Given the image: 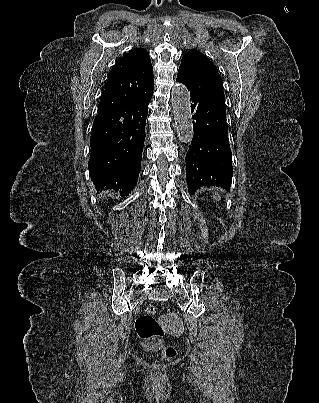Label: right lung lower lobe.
I'll use <instances>...</instances> for the list:
<instances>
[{"label":"right lung lower lobe","mask_w":319,"mask_h":403,"mask_svg":"<svg viewBox=\"0 0 319 403\" xmlns=\"http://www.w3.org/2000/svg\"><path fill=\"white\" fill-rule=\"evenodd\" d=\"M151 97L96 115L88 169L97 189H113L124 195L134 189L141 167Z\"/></svg>","instance_id":"98d812e1"}]
</instances>
